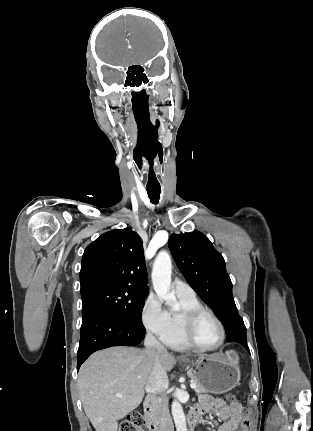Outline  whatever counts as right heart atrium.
Segmentation results:
<instances>
[{
    "mask_svg": "<svg viewBox=\"0 0 313 431\" xmlns=\"http://www.w3.org/2000/svg\"><path fill=\"white\" fill-rule=\"evenodd\" d=\"M141 320L146 330L159 338L168 332V311L163 307L159 297L150 295L141 310Z\"/></svg>",
    "mask_w": 313,
    "mask_h": 431,
    "instance_id": "right-heart-atrium-1",
    "label": "right heart atrium"
}]
</instances>
